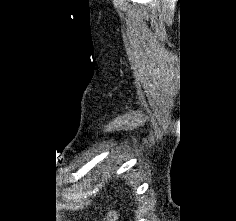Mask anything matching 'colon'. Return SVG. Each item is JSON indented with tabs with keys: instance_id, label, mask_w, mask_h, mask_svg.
<instances>
[{
	"instance_id": "1",
	"label": "colon",
	"mask_w": 236,
	"mask_h": 221,
	"mask_svg": "<svg viewBox=\"0 0 236 221\" xmlns=\"http://www.w3.org/2000/svg\"><path fill=\"white\" fill-rule=\"evenodd\" d=\"M116 220H117L116 212L113 209H109L103 221H116Z\"/></svg>"
}]
</instances>
